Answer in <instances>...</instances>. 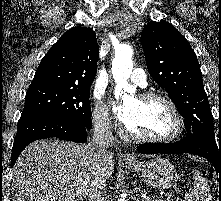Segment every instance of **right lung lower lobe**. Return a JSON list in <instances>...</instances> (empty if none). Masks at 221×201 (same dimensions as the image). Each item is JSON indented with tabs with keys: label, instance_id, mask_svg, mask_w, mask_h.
<instances>
[{
	"label": "right lung lower lobe",
	"instance_id": "obj_1",
	"mask_svg": "<svg viewBox=\"0 0 221 201\" xmlns=\"http://www.w3.org/2000/svg\"><path fill=\"white\" fill-rule=\"evenodd\" d=\"M91 127L65 117L38 114L21 117L12 148L11 167L29 143L49 137L83 143L87 141L86 130Z\"/></svg>",
	"mask_w": 221,
	"mask_h": 201
}]
</instances>
